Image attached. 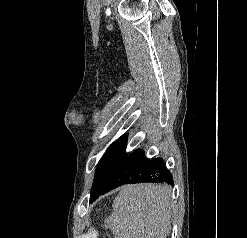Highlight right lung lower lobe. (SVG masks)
<instances>
[{"instance_id": "obj_1", "label": "right lung lower lobe", "mask_w": 247, "mask_h": 238, "mask_svg": "<svg viewBox=\"0 0 247 238\" xmlns=\"http://www.w3.org/2000/svg\"><path fill=\"white\" fill-rule=\"evenodd\" d=\"M141 182H166L172 184L173 179L162 158L149 160L145 157L144 152L138 149L129 156L125 155L123 157L100 195L123 184ZM95 199L90 200V202Z\"/></svg>"}]
</instances>
